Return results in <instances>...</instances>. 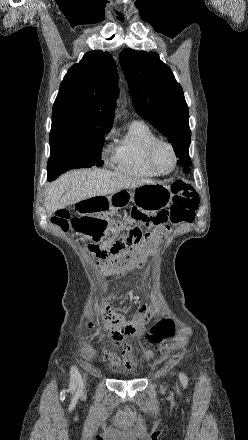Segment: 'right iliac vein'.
<instances>
[{"instance_id": "right-iliac-vein-1", "label": "right iliac vein", "mask_w": 248, "mask_h": 440, "mask_svg": "<svg viewBox=\"0 0 248 440\" xmlns=\"http://www.w3.org/2000/svg\"><path fill=\"white\" fill-rule=\"evenodd\" d=\"M85 384H86V375L84 374L83 378L81 379V382L79 383V392L82 393L83 390L85 389Z\"/></svg>"}]
</instances>
